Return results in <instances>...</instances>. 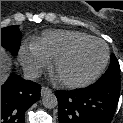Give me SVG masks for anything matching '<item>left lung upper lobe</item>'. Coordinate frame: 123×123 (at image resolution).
<instances>
[{"instance_id": "left-lung-upper-lobe-1", "label": "left lung upper lobe", "mask_w": 123, "mask_h": 123, "mask_svg": "<svg viewBox=\"0 0 123 123\" xmlns=\"http://www.w3.org/2000/svg\"><path fill=\"white\" fill-rule=\"evenodd\" d=\"M98 82L120 85V66L114 54L111 55L110 66L108 67V70L101 76Z\"/></svg>"}]
</instances>
